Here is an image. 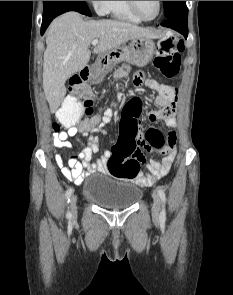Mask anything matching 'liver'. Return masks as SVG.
<instances>
[{"label":"liver","instance_id":"obj_1","mask_svg":"<svg viewBox=\"0 0 233 295\" xmlns=\"http://www.w3.org/2000/svg\"><path fill=\"white\" fill-rule=\"evenodd\" d=\"M137 37L153 39L160 35L123 21H84L81 14L73 11L55 18L47 32L43 62V89L50 112L55 113L64 99L66 80L87 66L94 39L99 40L94 53L103 54Z\"/></svg>","mask_w":233,"mask_h":295}]
</instances>
